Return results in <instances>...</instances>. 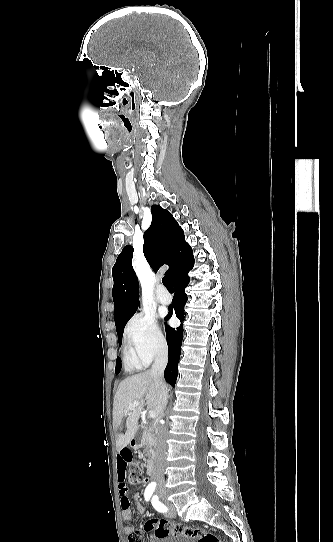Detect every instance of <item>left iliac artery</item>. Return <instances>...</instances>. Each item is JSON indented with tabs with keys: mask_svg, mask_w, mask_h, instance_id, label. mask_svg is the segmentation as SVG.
Instances as JSON below:
<instances>
[{
	"mask_svg": "<svg viewBox=\"0 0 333 542\" xmlns=\"http://www.w3.org/2000/svg\"><path fill=\"white\" fill-rule=\"evenodd\" d=\"M152 505L158 512H166L167 507L162 504L160 501H158V497H153L152 499Z\"/></svg>",
	"mask_w": 333,
	"mask_h": 542,
	"instance_id": "44dca946",
	"label": "left iliac artery"
}]
</instances>
